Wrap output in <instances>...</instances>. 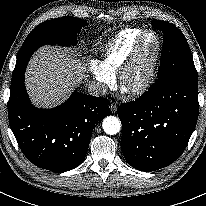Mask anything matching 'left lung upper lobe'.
Here are the masks:
<instances>
[{
    "label": "left lung upper lobe",
    "mask_w": 206,
    "mask_h": 206,
    "mask_svg": "<svg viewBox=\"0 0 206 206\" xmlns=\"http://www.w3.org/2000/svg\"><path fill=\"white\" fill-rule=\"evenodd\" d=\"M152 26L164 33V41L157 79L149 90L153 91L171 80H197L193 57L182 32L165 21L153 20Z\"/></svg>",
    "instance_id": "5c2ea615"
}]
</instances>
